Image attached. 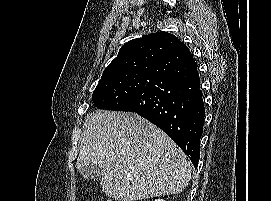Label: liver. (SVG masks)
<instances>
[{
	"label": "liver",
	"instance_id": "1",
	"mask_svg": "<svg viewBox=\"0 0 271 201\" xmlns=\"http://www.w3.org/2000/svg\"><path fill=\"white\" fill-rule=\"evenodd\" d=\"M99 165L102 192L118 201L181 193L191 178L185 153L135 113L96 111L85 120L76 167Z\"/></svg>",
	"mask_w": 271,
	"mask_h": 201
}]
</instances>
